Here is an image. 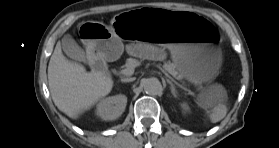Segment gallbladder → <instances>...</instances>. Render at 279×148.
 Instances as JSON below:
<instances>
[{"label":"gallbladder","mask_w":279,"mask_h":148,"mask_svg":"<svg viewBox=\"0 0 279 148\" xmlns=\"http://www.w3.org/2000/svg\"><path fill=\"white\" fill-rule=\"evenodd\" d=\"M61 46L64 53L73 60L86 62L85 51L77 44L71 35L67 34L62 38Z\"/></svg>","instance_id":"1"}]
</instances>
